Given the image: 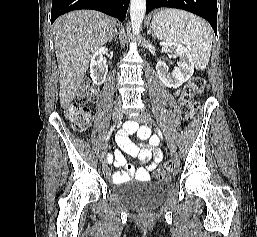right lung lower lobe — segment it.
Instances as JSON below:
<instances>
[{
	"mask_svg": "<svg viewBox=\"0 0 257 237\" xmlns=\"http://www.w3.org/2000/svg\"><path fill=\"white\" fill-rule=\"evenodd\" d=\"M130 0H52L51 23L57 17L72 10L92 9L118 18L125 19Z\"/></svg>",
	"mask_w": 257,
	"mask_h": 237,
	"instance_id": "1",
	"label": "right lung lower lobe"
}]
</instances>
